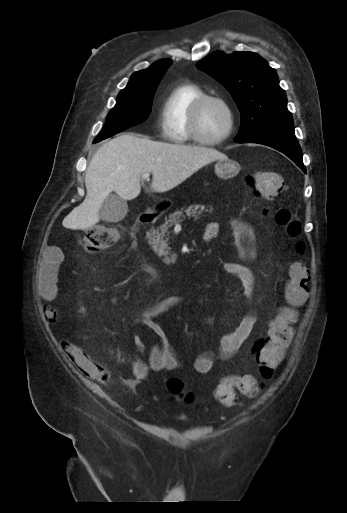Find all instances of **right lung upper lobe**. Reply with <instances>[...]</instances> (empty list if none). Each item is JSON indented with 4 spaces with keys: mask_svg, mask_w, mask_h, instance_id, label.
<instances>
[{
    "mask_svg": "<svg viewBox=\"0 0 347 513\" xmlns=\"http://www.w3.org/2000/svg\"><path fill=\"white\" fill-rule=\"evenodd\" d=\"M171 63V60H160L148 69L134 73L131 76L128 85L123 90H134L147 84L160 81Z\"/></svg>",
    "mask_w": 347,
    "mask_h": 513,
    "instance_id": "obj_1",
    "label": "right lung upper lobe"
}]
</instances>
